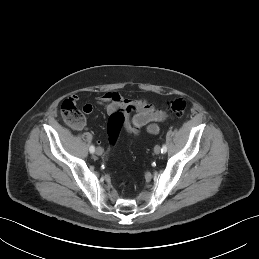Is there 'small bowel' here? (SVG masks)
I'll return each mask as SVG.
<instances>
[{
	"label": "small bowel",
	"mask_w": 259,
	"mask_h": 259,
	"mask_svg": "<svg viewBox=\"0 0 259 259\" xmlns=\"http://www.w3.org/2000/svg\"><path fill=\"white\" fill-rule=\"evenodd\" d=\"M97 103L104 107L109 114L117 109H122L126 116V131L132 136H137L142 129L150 134H157L160 130L159 123L167 119L166 112L156 109L147 98L130 99L118 91H108L101 94ZM92 111V105H84L86 114H91ZM131 113H133L132 116ZM83 127L84 124L78 129Z\"/></svg>",
	"instance_id": "c3829d8e"
}]
</instances>
